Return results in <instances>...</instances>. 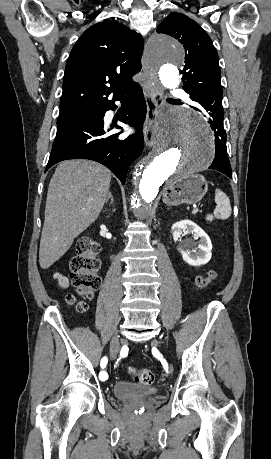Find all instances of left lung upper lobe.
<instances>
[{"instance_id": "obj_1", "label": "left lung upper lobe", "mask_w": 271, "mask_h": 459, "mask_svg": "<svg viewBox=\"0 0 271 459\" xmlns=\"http://www.w3.org/2000/svg\"><path fill=\"white\" fill-rule=\"evenodd\" d=\"M157 32L183 44L185 66L180 71L183 89L193 98L206 94V108L224 113L218 54L208 34L188 16L176 12L161 22Z\"/></svg>"}]
</instances>
